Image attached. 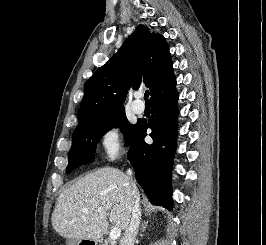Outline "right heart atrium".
Segmentation results:
<instances>
[{
  "label": "right heart atrium",
  "mask_w": 266,
  "mask_h": 245,
  "mask_svg": "<svg viewBox=\"0 0 266 245\" xmlns=\"http://www.w3.org/2000/svg\"><path fill=\"white\" fill-rule=\"evenodd\" d=\"M122 143V134L118 127H110L103 131L97 141L100 159L105 162L117 159L122 151Z\"/></svg>",
  "instance_id": "obj_1"
}]
</instances>
